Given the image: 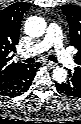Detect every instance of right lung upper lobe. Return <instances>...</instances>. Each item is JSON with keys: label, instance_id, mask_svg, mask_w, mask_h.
I'll use <instances>...</instances> for the list:
<instances>
[{"label": "right lung upper lobe", "instance_id": "obj_1", "mask_svg": "<svg viewBox=\"0 0 81 124\" xmlns=\"http://www.w3.org/2000/svg\"><path fill=\"white\" fill-rule=\"evenodd\" d=\"M30 3L16 2L0 11V82L24 64L11 61L20 37L21 19Z\"/></svg>", "mask_w": 81, "mask_h": 124}]
</instances>
